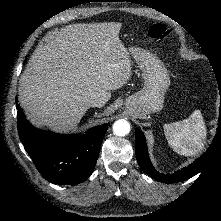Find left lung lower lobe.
Here are the masks:
<instances>
[{"mask_svg": "<svg viewBox=\"0 0 221 221\" xmlns=\"http://www.w3.org/2000/svg\"><path fill=\"white\" fill-rule=\"evenodd\" d=\"M220 104H221V101H220ZM220 113H221V106H220ZM219 122L220 124L217 129L218 133L216 134V137L212 145H210V147L208 148L207 153L202 155L199 159H197L195 162L190 164L188 167L183 168L173 174H162L154 169L148 156L145 136L140 129H136L135 153H136V158L141 169L150 177L163 183H172V182L182 181V180L188 179L196 175L203 169L209 156L214 150L213 148H215L214 147L215 141H216V144L221 141V115L219 117Z\"/></svg>", "mask_w": 221, "mask_h": 221, "instance_id": "obj_1", "label": "left lung lower lobe"}]
</instances>
